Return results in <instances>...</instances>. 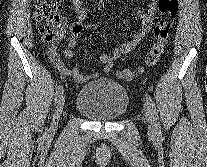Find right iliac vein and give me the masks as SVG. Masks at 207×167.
<instances>
[{
    "label": "right iliac vein",
    "mask_w": 207,
    "mask_h": 167,
    "mask_svg": "<svg viewBox=\"0 0 207 167\" xmlns=\"http://www.w3.org/2000/svg\"><path fill=\"white\" fill-rule=\"evenodd\" d=\"M64 104H65V96L62 95L61 98L58 100V103L56 105V110L53 114L52 124L50 127L51 132H54L57 129Z\"/></svg>",
    "instance_id": "1"
}]
</instances>
